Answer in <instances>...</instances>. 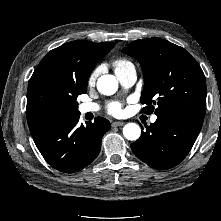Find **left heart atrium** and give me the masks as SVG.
<instances>
[{
    "label": "left heart atrium",
    "mask_w": 221,
    "mask_h": 221,
    "mask_svg": "<svg viewBox=\"0 0 221 221\" xmlns=\"http://www.w3.org/2000/svg\"><path fill=\"white\" fill-rule=\"evenodd\" d=\"M107 111L113 116H119L122 114V104L120 102H110L107 106Z\"/></svg>",
    "instance_id": "obj_1"
}]
</instances>
